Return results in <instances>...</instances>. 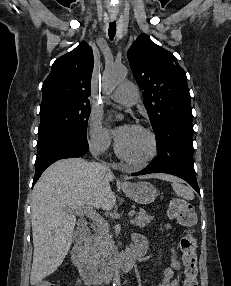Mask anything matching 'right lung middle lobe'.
I'll return each instance as SVG.
<instances>
[{
	"instance_id": "obj_1",
	"label": "right lung middle lobe",
	"mask_w": 231,
	"mask_h": 286,
	"mask_svg": "<svg viewBox=\"0 0 231 286\" xmlns=\"http://www.w3.org/2000/svg\"><path fill=\"white\" fill-rule=\"evenodd\" d=\"M89 115V103L55 102L41 106L38 143L60 134L86 138Z\"/></svg>"
}]
</instances>
